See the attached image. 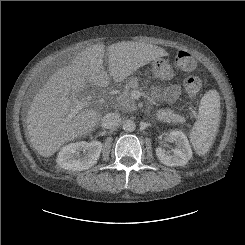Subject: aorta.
I'll return each mask as SVG.
<instances>
[{
    "label": "aorta",
    "mask_w": 245,
    "mask_h": 245,
    "mask_svg": "<svg viewBox=\"0 0 245 245\" xmlns=\"http://www.w3.org/2000/svg\"><path fill=\"white\" fill-rule=\"evenodd\" d=\"M136 128V124L134 121L132 120H125L123 122V129L126 131V132H133Z\"/></svg>",
    "instance_id": "762f6f07"
}]
</instances>
